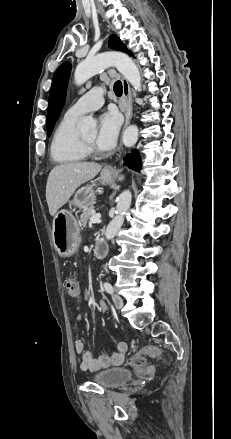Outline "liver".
<instances>
[{"mask_svg": "<svg viewBox=\"0 0 231 439\" xmlns=\"http://www.w3.org/2000/svg\"><path fill=\"white\" fill-rule=\"evenodd\" d=\"M97 163L78 162L65 163L54 167L48 176L46 185V200L49 213L54 216L56 212L75 190L85 182L92 180L101 170Z\"/></svg>", "mask_w": 231, "mask_h": 439, "instance_id": "obj_1", "label": "liver"}]
</instances>
